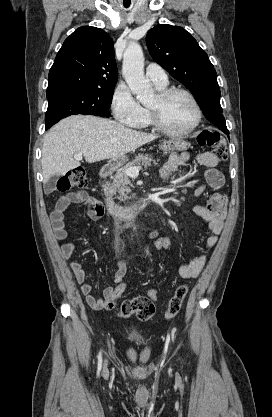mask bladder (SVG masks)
<instances>
[{"instance_id":"1","label":"bladder","mask_w":272,"mask_h":417,"mask_svg":"<svg viewBox=\"0 0 272 417\" xmlns=\"http://www.w3.org/2000/svg\"><path fill=\"white\" fill-rule=\"evenodd\" d=\"M128 338L131 341L136 342V343H142V342H144L143 337L139 333H136V332L129 333Z\"/></svg>"}]
</instances>
